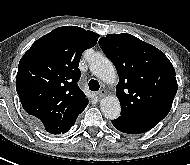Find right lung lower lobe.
Wrapping results in <instances>:
<instances>
[{
    "instance_id": "right-lung-lower-lobe-1",
    "label": "right lung lower lobe",
    "mask_w": 190,
    "mask_h": 165,
    "mask_svg": "<svg viewBox=\"0 0 190 165\" xmlns=\"http://www.w3.org/2000/svg\"><path fill=\"white\" fill-rule=\"evenodd\" d=\"M33 120H34V119H33ZM34 122L38 124V122H37L36 120H34Z\"/></svg>"
}]
</instances>
